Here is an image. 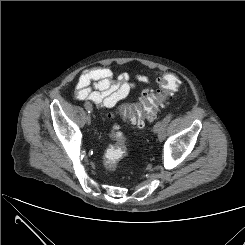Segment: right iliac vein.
Masks as SVG:
<instances>
[{"label": "right iliac vein", "mask_w": 245, "mask_h": 245, "mask_svg": "<svg viewBox=\"0 0 245 245\" xmlns=\"http://www.w3.org/2000/svg\"><path fill=\"white\" fill-rule=\"evenodd\" d=\"M85 108L86 109H92V105L90 104V102H86L85 103ZM91 121H92L91 115H87L86 116V122H87V124H91Z\"/></svg>", "instance_id": "63e3f726"}]
</instances>
